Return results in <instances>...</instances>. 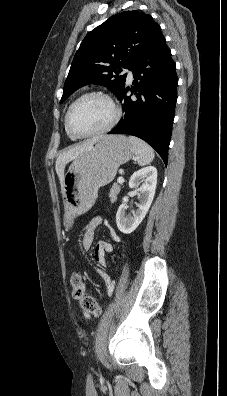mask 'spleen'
<instances>
[{
    "mask_svg": "<svg viewBox=\"0 0 227 396\" xmlns=\"http://www.w3.org/2000/svg\"><path fill=\"white\" fill-rule=\"evenodd\" d=\"M129 142L133 147V152L138 165L144 166L150 164L154 159L153 149L143 140L134 136H129Z\"/></svg>",
    "mask_w": 227,
    "mask_h": 396,
    "instance_id": "3e777b00",
    "label": "spleen"
}]
</instances>
